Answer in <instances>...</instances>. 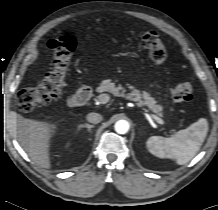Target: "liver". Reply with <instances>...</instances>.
<instances>
[{
	"instance_id": "1",
	"label": "liver",
	"mask_w": 218,
	"mask_h": 210,
	"mask_svg": "<svg viewBox=\"0 0 218 210\" xmlns=\"http://www.w3.org/2000/svg\"><path fill=\"white\" fill-rule=\"evenodd\" d=\"M16 125L23 136L22 144L31 157L38 163H45L48 140L51 136L52 126L39 119H28L15 113Z\"/></svg>"
}]
</instances>
